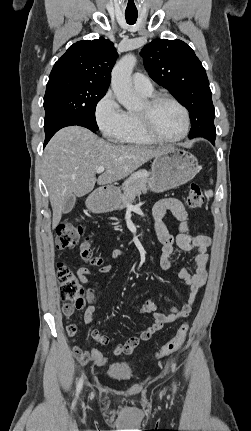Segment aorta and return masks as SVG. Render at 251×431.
Returning a JSON list of instances; mask_svg holds the SVG:
<instances>
[{"label": "aorta", "instance_id": "aorta-1", "mask_svg": "<svg viewBox=\"0 0 251 431\" xmlns=\"http://www.w3.org/2000/svg\"><path fill=\"white\" fill-rule=\"evenodd\" d=\"M136 64L133 54L123 56L114 66L111 73V87L120 104L127 110L139 107L140 101L134 95L131 83V73Z\"/></svg>", "mask_w": 251, "mask_h": 431}]
</instances>
